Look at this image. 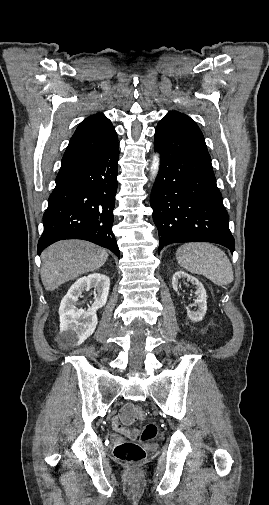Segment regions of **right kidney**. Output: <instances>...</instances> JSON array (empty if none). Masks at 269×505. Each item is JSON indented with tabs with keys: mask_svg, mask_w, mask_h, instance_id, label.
I'll use <instances>...</instances> for the list:
<instances>
[{
	"mask_svg": "<svg viewBox=\"0 0 269 505\" xmlns=\"http://www.w3.org/2000/svg\"><path fill=\"white\" fill-rule=\"evenodd\" d=\"M110 280L100 273L78 279L63 297L60 308V339L68 345H80L95 331L97 310L102 308L109 293ZM94 288V303L88 310L78 309V300L85 291Z\"/></svg>",
	"mask_w": 269,
	"mask_h": 505,
	"instance_id": "obj_1",
	"label": "right kidney"
}]
</instances>
